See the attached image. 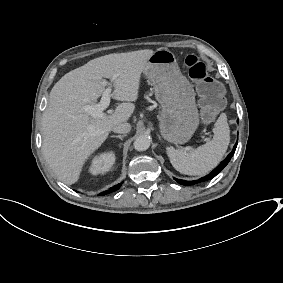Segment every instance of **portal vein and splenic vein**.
Listing matches in <instances>:
<instances>
[{
    "label": "portal vein and splenic vein",
    "mask_w": 283,
    "mask_h": 283,
    "mask_svg": "<svg viewBox=\"0 0 283 283\" xmlns=\"http://www.w3.org/2000/svg\"><path fill=\"white\" fill-rule=\"evenodd\" d=\"M118 77V74H114L109 81L103 80V84L106 87L105 90L102 92V98H101V102L95 106H86V112L93 115V116H102L103 113V109L107 108L109 103H110V99H111V92L113 90L112 88V82Z\"/></svg>",
    "instance_id": "18ae733b"
}]
</instances>
